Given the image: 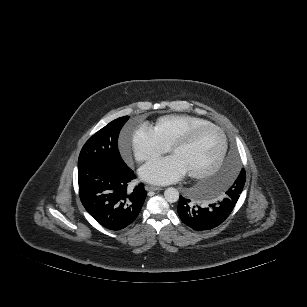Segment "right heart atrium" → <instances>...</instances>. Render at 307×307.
Masks as SVG:
<instances>
[{
    "instance_id": "1",
    "label": "right heart atrium",
    "mask_w": 307,
    "mask_h": 307,
    "mask_svg": "<svg viewBox=\"0 0 307 307\" xmlns=\"http://www.w3.org/2000/svg\"><path fill=\"white\" fill-rule=\"evenodd\" d=\"M119 147L123 156H127L131 151L138 162L154 160L168 151V146L161 142L151 128L146 126L131 130L122 138Z\"/></svg>"
}]
</instances>
